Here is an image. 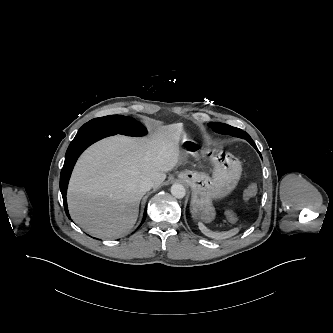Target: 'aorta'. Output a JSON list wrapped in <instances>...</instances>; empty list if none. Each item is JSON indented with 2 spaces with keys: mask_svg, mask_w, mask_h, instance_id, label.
Wrapping results in <instances>:
<instances>
[{
  "mask_svg": "<svg viewBox=\"0 0 333 333\" xmlns=\"http://www.w3.org/2000/svg\"><path fill=\"white\" fill-rule=\"evenodd\" d=\"M171 194L178 199L183 198L186 195V190L181 184H173L171 186Z\"/></svg>",
  "mask_w": 333,
  "mask_h": 333,
  "instance_id": "aorta-1",
  "label": "aorta"
}]
</instances>
